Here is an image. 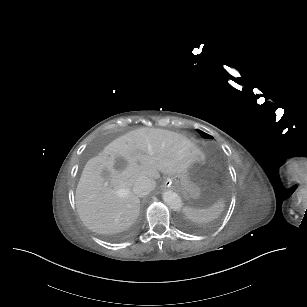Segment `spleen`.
<instances>
[{
  "label": "spleen",
  "instance_id": "3e777b00",
  "mask_svg": "<svg viewBox=\"0 0 307 307\" xmlns=\"http://www.w3.org/2000/svg\"><path fill=\"white\" fill-rule=\"evenodd\" d=\"M223 208L224 203L222 200H219L217 203L207 209H196L194 207H187L184 210V215L187 218H191L193 220L211 221L221 214Z\"/></svg>",
  "mask_w": 307,
  "mask_h": 307
}]
</instances>
